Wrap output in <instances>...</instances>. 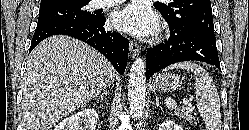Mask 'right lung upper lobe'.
<instances>
[{
  "label": "right lung upper lobe",
  "instance_id": "right-lung-upper-lobe-1",
  "mask_svg": "<svg viewBox=\"0 0 249 130\" xmlns=\"http://www.w3.org/2000/svg\"><path fill=\"white\" fill-rule=\"evenodd\" d=\"M83 1L89 0H41L40 9L69 7Z\"/></svg>",
  "mask_w": 249,
  "mask_h": 130
}]
</instances>
